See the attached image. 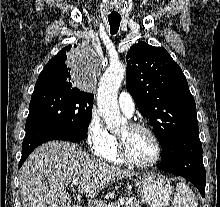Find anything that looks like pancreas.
<instances>
[{
	"instance_id": "obj_1",
	"label": "pancreas",
	"mask_w": 220,
	"mask_h": 207,
	"mask_svg": "<svg viewBox=\"0 0 220 207\" xmlns=\"http://www.w3.org/2000/svg\"><path fill=\"white\" fill-rule=\"evenodd\" d=\"M106 202H98L96 203L95 207H106ZM141 202L138 200H128L124 207H141Z\"/></svg>"
}]
</instances>
